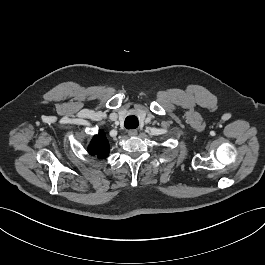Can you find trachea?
I'll return each instance as SVG.
<instances>
[{
	"label": "trachea",
	"mask_w": 265,
	"mask_h": 265,
	"mask_svg": "<svg viewBox=\"0 0 265 265\" xmlns=\"http://www.w3.org/2000/svg\"><path fill=\"white\" fill-rule=\"evenodd\" d=\"M124 126L127 129H135L138 127V118L135 115L128 116L125 119Z\"/></svg>",
	"instance_id": "obj_1"
}]
</instances>
